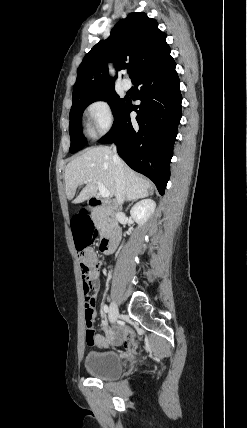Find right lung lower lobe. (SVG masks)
Returning a JSON list of instances; mask_svg holds the SVG:
<instances>
[{
	"mask_svg": "<svg viewBox=\"0 0 247 428\" xmlns=\"http://www.w3.org/2000/svg\"><path fill=\"white\" fill-rule=\"evenodd\" d=\"M176 63L169 56L161 64L142 73L133 84L140 87L138 106L126 99L112 129L101 143L115 142L119 156L135 171L150 178L164 194L170 177L169 163L181 119L180 81ZM137 117L130 119V112Z\"/></svg>",
	"mask_w": 247,
	"mask_h": 428,
	"instance_id": "98d812e1",
	"label": "right lung lower lobe"
}]
</instances>
